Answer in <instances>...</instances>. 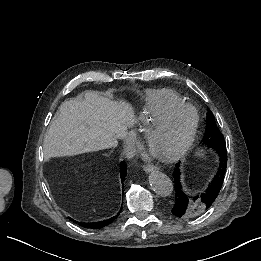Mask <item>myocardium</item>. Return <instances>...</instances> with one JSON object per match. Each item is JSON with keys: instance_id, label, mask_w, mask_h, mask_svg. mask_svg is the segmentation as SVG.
<instances>
[{"instance_id": "obj_1", "label": "myocardium", "mask_w": 261, "mask_h": 261, "mask_svg": "<svg viewBox=\"0 0 261 261\" xmlns=\"http://www.w3.org/2000/svg\"><path fill=\"white\" fill-rule=\"evenodd\" d=\"M177 110H183V111H188L191 114V123L189 126V130L187 132L186 138L183 142V144L180 146L179 149H177L176 151L167 154V155H156L150 152V150L148 149L145 139H146V134L149 130V128L156 124L157 122L161 121L165 116H167L168 114L177 111ZM198 123H199V115L197 110L188 105V104H171L168 105L166 107H164L162 110H160L158 113L152 114V115H148L143 117L142 119L139 120L138 122V133L140 136V139L142 140V142L144 143L145 147L147 148V150L149 151V153L156 159L162 161V162H172L175 161L177 159H179L180 157H182L190 148V146L192 145V142L194 140L196 131H197V127H198Z\"/></svg>"}]
</instances>
